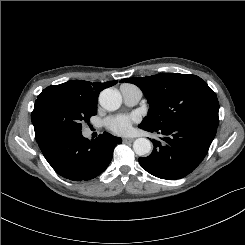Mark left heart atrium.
Returning <instances> with one entry per match:
<instances>
[{"instance_id": "1", "label": "left heart atrium", "mask_w": 245, "mask_h": 245, "mask_svg": "<svg viewBox=\"0 0 245 245\" xmlns=\"http://www.w3.org/2000/svg\"><path fill=\"white\" fill-rule=\"evenodd\" d=\"M136 120L135 116L120 114L108 117L104 124L111 132L117 135H125L130 132L132 123Z\"/></svg>"}]
</instances>
